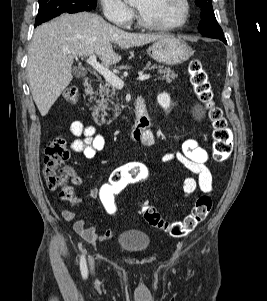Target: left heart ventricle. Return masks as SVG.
I'll return each instance as SVG.
<instances>
[{
    "mask_svg": "<svg viewBox=\"0 0 267 301\" xmlns=\"http://www.w3.org/2000/svg\"><path fill=\"white\" fill-rule=\"evenodd\" d=\"M133 5L145 19L159 25L178 22L184 12L181 0H134Z\"/></svg>",
    "mask_w": 267,
    "mask_h": 301,
    "instance_id": "obj_1",
    "label": "left heart ventricle"
}]
</instances>
